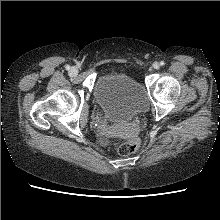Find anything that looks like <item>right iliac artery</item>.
I'll return each instance as SVG.
<instances>
[{"mask_svg":"<svg viewBox=\"0 0 220 220\" xmlns=\"http://www.w3.org/2000/svg\"><path fill=\"white\" fill-rule=\"evenodd\" d=\"M66 69L69 70V69H70V66L67 65V66H66Z\"/></svg>","mask_w":220,"mask_h":220,"instance_id":"1","label":"right iliac artery"}]
</instances>
